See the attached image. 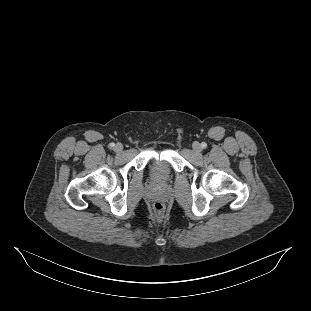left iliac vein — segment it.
Returning <instances> with one entry per match:
<instances>
[{
	"label": "left iliac vein",
	"mask_w": 311,
	"mask_h": 311,
	"mask_svg": "<svg viewBox=\"0 0 311 311\" xmlns=\"http://www.w3.org/2000/svg\"><path fill=\"white\" fill-rule=\"evenodd\" d=\"M192 147H193V150L197 153H199L202 149L201 145L198 142L193 143Z\"/></svg>",
	"instance_id": "1"
}]
</instances>
